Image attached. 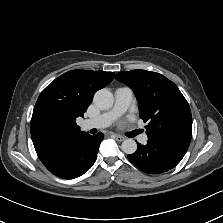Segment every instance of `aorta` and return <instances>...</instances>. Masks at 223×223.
I'll return each instance as SVG.
<instances>
[{
  "mask_svg": "<svg viewBox=\"0 0 223 223\" xmlns=\"http://www.w3.org/2000/svg\"><path fill=\"white\" fill-rule=\"evenodd\" d=\"M93 102L99 109L107 110L113 106L114 96L107 88H103L95 93ZM121 149L126 154H133L137 150V144L133 139H126L123 141Z\"/></svg>",
  "mask_w": 223,
  "mask_h": 223,
  "instance_id": "762f6f07",
  "label": "aorta"
}]
</instances>
